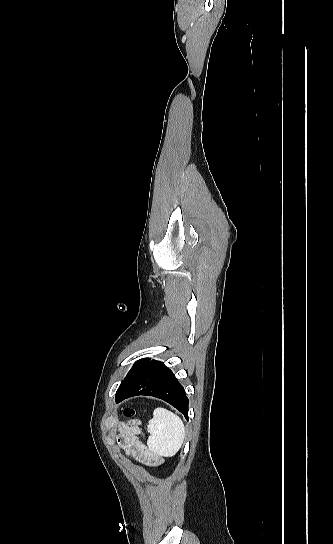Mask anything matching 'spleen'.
<instances>
[{
	"label": "spleen",
	"instance_id": "1",
	"mask_svg": "<svg viewBox=\"0 0 333 544\" xmlns=\"http://www.w3.org/2000/svg\"><path fill=\"white\" fill-rule=\"evenodd\" d=\"M148 445L154 453L171 457L180 449L185 438V427L179 416L165 408H156L149 420Z\"/></svg>",
	"mask_w": 333,
	"mask_h": 544
}]
</instances>
